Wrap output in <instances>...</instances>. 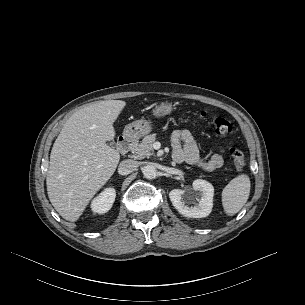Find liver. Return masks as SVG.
Here are the masks:
<instances>
[{"label": "liver", "instance_id": "6515ba94", "mask_svg": "<svg viewBox=\"0 0 305 305\" xmlns=\"http://www.w3.org/2000/svg\"><path fill=\"white\" fill-rule=\"evenodd\" d=\"M126 106L122 100L96 102L75 112L63 125L50 155L46 184L50 202L65 220L75 222L115 172L117 150L106 144Z\"/></svg>", "mask_w": 305, "mask_h": 305}]
</instances>
